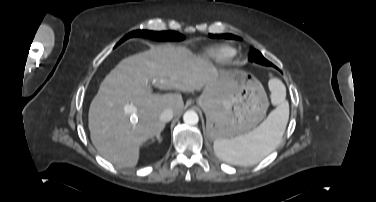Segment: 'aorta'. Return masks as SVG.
I'll use <instances>...</instances> for the list:
<instances>
[{"mask_svg": "<svg viewBox=\"0 0 376 202\" xmlns=\"http://www.w3.org/2000/svg\"><path fill=\"white\" fill-rule=\"evenodd\" d=\"M183 121L187 125H196L199 122V116L195 111L188 110L183 115Z\"/></svg>", "mask_w": 376, "mask_h": 202, "instance_id": "1", "label": "aorta"}]
</instances>
